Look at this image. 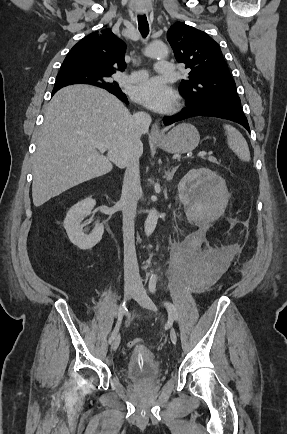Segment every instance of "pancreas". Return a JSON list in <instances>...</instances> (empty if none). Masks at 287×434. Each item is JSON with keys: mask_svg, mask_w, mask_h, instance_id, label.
Segmentation results:
<instances>
[{"mask_svg": "<svg viewBox=\"0 0 287 434\" xmlns=\"http://www.w3.org/2000/svg\"><path fill=\"white\" fill-rule=\"evenodd\" d=\"M208 160H209L210 162H212V163H216V164H218L216 158H214V157H209Z\"/></svg>", "mask_w": 287, "mask_h": 434, "instance_id": "1", "label": "pancreas"}]
</instances>
